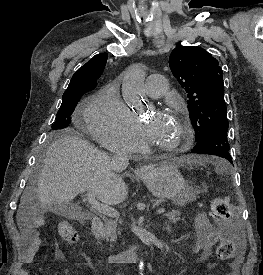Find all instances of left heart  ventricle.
Listing matches in <instances>:
<instances>
[{"instance_id": "left-heart-ventricle-1", "label": "left heart ventricle", "mask_w": 263, "mask_h": 275, "mask_svg": "<svg viewBox=\"0 0 263 275\" xmlns=\"http://www.w3.org/2000/svg\"><path fill=\"white\" fill-rule=\"evenodd\" d=\"M179 136V129L172 117H166L162 121L157 133L150 140L154 145L168 146L176 142Z\"/></svg>"}]
</instances>
